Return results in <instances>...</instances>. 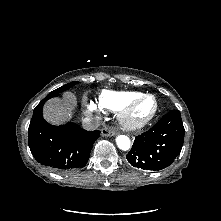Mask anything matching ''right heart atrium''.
Instances as JSON below:
<instances>
[{
  "label": "right heart atrium",
  "instance_id": "obj_1",
  "mask_svg": "<svg viewBox=\"0 0 221 221\" xmlns=\"http://www.w3.org/2000/svg\"><path fill=\"white\" fill-rule=\"evenodd\" d=\"M87 110L89 111V112H94L95 110H96V107H95V105H94V103L93 102H88V104H87Z\"/></svg>",
  "mask_w": 221,
  "mask_h": 221
}]
</instances>
